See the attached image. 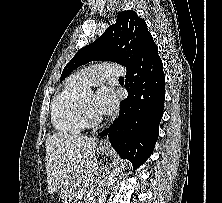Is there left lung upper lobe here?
<instances>
[{"label":"left lung upper lobe","mask_w":222,"mask_h":203,"mask_svg":"<svg viewBox=\"0 0 222 203\" xmlns=\"http://www.w3.org/2000/svg\"><path fill=\"white\" fill-rule=\"evenodd\" d=\"M149 35L145 21L135 11L120 12L115 24L75 54L65 66L61 80L77 67L94 60L117 62L129 68L141 54Z\"/></svg>","instance_id":"1"}]
</instances>
